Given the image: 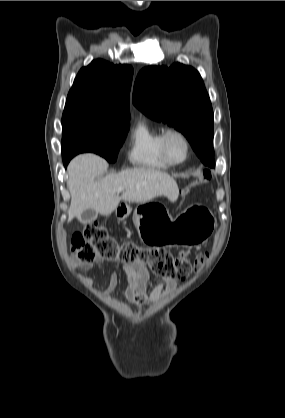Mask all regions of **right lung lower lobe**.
<instances>
[{
    "mask_svg": "<svg viewBox=\"0 0 285 418\" xmlns=\"http://www.w3.org/2000/svg\"><path fill=\"white\" fill-rule=\"evenodd\" d=\"M71 159H72V158H70V159L68 158V159L63 160L64 165H65V166H67V164L69 163V161H70Z\"/></svg>",
    "mask_w": 285,
    "mask_h": 418,
    "instance_id": "obj_1",
    "label": "right lung lower lobe"
}]
</instances>
